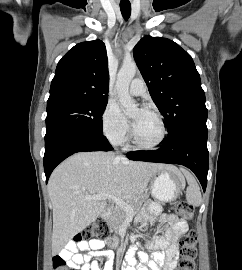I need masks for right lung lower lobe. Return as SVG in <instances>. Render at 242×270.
Returning a JSON list of instances; mask_svg holds the SVG:
<instances>
[{"label": "right lung lower lobe", "mask_w": 242, "mask_h": 270, "mask_svg": "<svg viewBox=\"0 0 242 270\" xmlns=\"http://www.w3.org/2000/svg\"><path fill=\"white\" fill-rule=\"evenodd\" d=\"M112 150L107 138L80 130H59L45 136L44 171L46 183L54 168L70 155L81 151Z\"/></svg>", "instance_id": "obj_1"}]
</instances>
